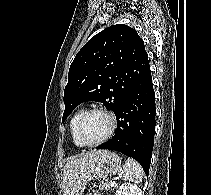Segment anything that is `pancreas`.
Masks as SVG:
<instances>
[{
  "instance_id": "pancreas-1",
  "label": "pancreas",
  "mask_w": 211,
  "mask_h": 195,
  "mask_svg": "<svg viewBox=\"0 0 211 195\" xmlns=\"http://www.w3.org/2000/svg\"><path fill=\"white\" fill-rule=\"evenodd\" d=\"M100 189H109L112 188L110 183H103L100 187Z\"/></svg>"
}]
</instances>
